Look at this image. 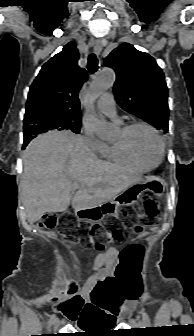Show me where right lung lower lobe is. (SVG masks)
Segmentation results:
<instances>
[{"label": "right lung lower lobe", "mask_w": 194, "mask_h": 336, "mask_svg": "<svg viewBox=\"0 0 194 336\" xmlns=\"http://www.w3.org/2000/svg\"><path fill=\"white\" fill-rule=\"evenodd\" d=\"M27 144H28V143H24L23 148H25Z\"/></svg>", "instance_id": "right-lung-lower-lobe-1"}]
</instances>
